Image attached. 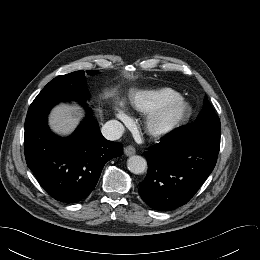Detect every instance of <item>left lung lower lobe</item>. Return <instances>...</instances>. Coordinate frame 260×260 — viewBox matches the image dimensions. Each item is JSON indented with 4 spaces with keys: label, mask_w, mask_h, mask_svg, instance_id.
Wrapping results in <instances>:
<instances>
[{
    "label": "left lung lower lobe",
    "mask_w": 260,
    "mask_h": 260,
    "mask_svg": "<svg viewBox=\"0 0 260 260\" xmlns=\"http://www.w3.org/2000/svg\"><path fill=\"white\" fill-rule=\"evenodd\" d=\"M220 139L168 133L144 155L148 172L139 194L151 208L173 210L186 204L215 167Z\"/></svg>",
    "instance_id": "0a47b994"
}]
</instances>
